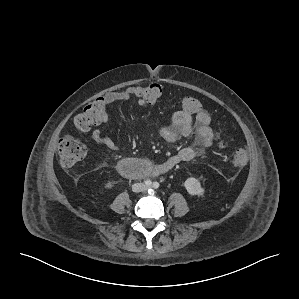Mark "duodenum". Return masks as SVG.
I'll use <instances>...</instances> for the list:
<instances>
[{"label": "duodenum", "instance_id": "1", "mask_svg": "<svg viewBox=\"0 0 299 299\" xmlns=\"http://www.w3.org/2000/svg\"><path fill=\"white\" fill-rule=\"evenodd\" d=\"M117 169L126 177H143L147 174L148 162L138 158L123 159L117 164Z\"/></svg>", "mask_w": 299, "mask_h": 299}]
</instances>
